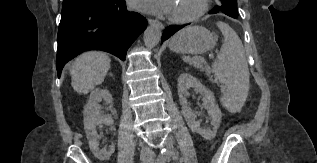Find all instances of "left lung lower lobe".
Here are the masks:
<instances>
[{"label":"left lung lower lobe","mask_w":317,"mask_h":163,"mask_svg":"<svg viewBox=\"0 0 317 163\" xmlns=\"http://www.w3.org/2000/svg\"><path fill=\"white\" fill-rule=\"evenodd\" d=\"M236 18V17H233ZM187 24L182 25V26H171L168 27L164 30L163 35H162V41H165L166 39H168L171 35H173L175 32H177L178 30H180L181 28L185 27Z\"/></svg>","instance_id":"obj_1"}]
</instances>
